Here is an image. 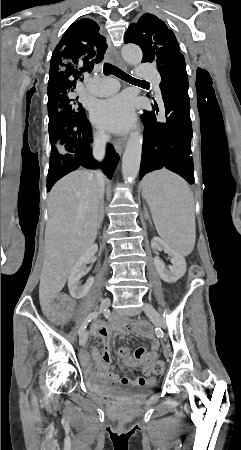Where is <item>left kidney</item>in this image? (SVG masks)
Here are the masks:
<instances>
[{
  "mask_svg": "<svg viewBox=\"0 0 241 450\" xmlns=\"http://www.w3.org/2000/svg\"><path fill=\"white\" fill-rule=\"evenodd\" d=\"M151 248H153V250H164L165 254L170 256L172 266H168L169 270L165 268V264L160 260L159 256H155L154 258L155 268L163 282H177V280H180V278L184 276L186 272V262L183 256H180V254L171 250V248H169L161 238H157V236L153 238Z\"/></svg>",
  "mask_w": 241,
  "mask_h": 450,
  "instance_id": "obj_1",
  "label": "left kidney"
}]
</instances>
